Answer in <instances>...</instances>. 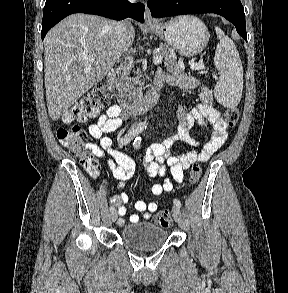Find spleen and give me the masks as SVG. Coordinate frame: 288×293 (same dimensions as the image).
<instances>
[{"mask_svg":"<svg viewBox=\"0 0 288 293\" xmlns=\"http://www.w3.org/2000/svg\"><path fill=\"white\" fill-rule=\"evenodd\" d=\"M219 43L214 64L220 78L214 88L217 101L225 107H235L241 100L243 89V67L235 43L219 28L215 27Z\"/></svg>","mask_w":288,"mask_h":293,"instance_id":"obj_1","label":"spleen"}]
</instances>
